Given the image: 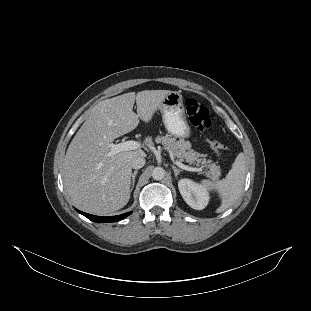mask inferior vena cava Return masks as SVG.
Returning a JSON list of instances; mask_svg holds the SVG:
<instances>
[{
	"label": "inferior vena cava",
	"instance_id": "602c4592",
	"mask_svg": "<svg viewBox=\"0 0 311 311\" xmlns=\"http://www.w3.org/2000/svg\"><path fill=\"white\" fill-rule=\"evenodd\" d=\"M146 161L143 157H135L131 161V167L133 169H140L145 165Z\"/></svg>",
	"mask_w": 311,
	"mask_h": 311
}]
</instances>
